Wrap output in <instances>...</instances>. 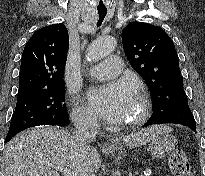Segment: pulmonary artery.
<instances>
[{"mask_svg": "<svg viewBox=\"0 0 205 176\" xmlns=\"http://www.w3.org/2000/svg\"><path fill=\"white\" fill-rule=\"evenodd\" d=\"M123 70L122 62L118 56H110L106 61L90 68L86 75L93 79H106L119 75Z\"/></svg>", "mask_w": 205, "mask_h": 176, "instance_id": "obj_1", "label": "pulmonary artery"}]
</instances>
